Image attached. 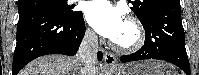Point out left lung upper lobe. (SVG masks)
<instances>
[{
  "instance_id": "1",
  "label": "left lung upper lobe",
  "mask_w": 199,
  "mask_h": 75,
  "mask_svg": "<svg viewBox=\"0 0 199 75\" xmlns=\"http://www.w3.org/2000/svg\"><path fill=\"white\" fill-rule=\"evenodd\" d=\"M132 4L131 10L141 23H144L150 14L163 4L179 2V0H128Z\"/></svg>"
}]
</instances>
